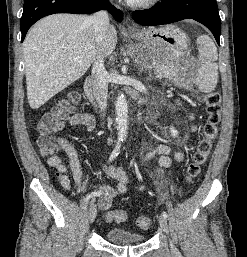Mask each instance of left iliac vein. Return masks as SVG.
<instances>
[{"instance_id":"4c4485c4","label":"left iliac vein","mask_w":247,"mask_h":257,"mask_svg":"<svg viewBox=\"0 0 247 257\" xmlns=\"http://www.w3.org/2000/svg\"><path fill=\"white\" fill-rule=\"evenodd\" d=\"M159 224H160V227L161 229L166 232V233H169V228H168V221L166 218L164 217H160L159 218ZM170 247H171V251L173 254L177 255L178 254V251L176 249V247L174 246V244L172 242H170Z\"/></svg>"}]
</instances>
